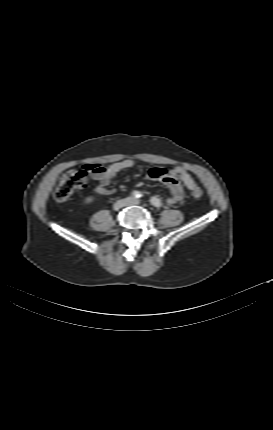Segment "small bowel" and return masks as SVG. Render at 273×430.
I'll use <instances>...</instances> for the list:
<instances>
[{
    "instance_id": "obj_1",
    "label": "small bowel",
    "mask_w": 273,
    "mask_h": 430,
    "mask_svg": "<svg viewBox=\"0 0 273 430\" xmlns=\"http://www.w3.org/2000/svg\"><path fill=\"white\" fill-rule=\"evenodd\" d=\"M136 162L132 159H125L104 166L100 162L93 164H82L81 170L84 174L91 175L94 180L98 182L95 189L97 195H108L115 190L109 188L111 179L119 172L133 168ZM148 178L157 180L164 183L170 189V196L167 199L169 204H176L184 198V187L189 190L197 188L196 182L193 177L188 173L184 167H175L173 169H166L163 167L152 168L147 173Z\"/></svg>"
}]
</instances>
